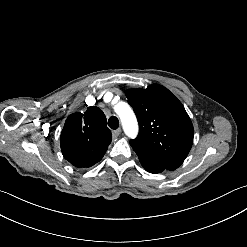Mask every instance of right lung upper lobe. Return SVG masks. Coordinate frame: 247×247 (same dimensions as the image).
<instances>
[{"label": "right lung upper lobe", "instance_id": "obj_1", "mask_svg": "<svg viewBox=\"0 0 247 247\" xmlns=\"http://www.w3.org/2000/svg\"><path fill=\"white\" fill-rule=\"evenodd\" d=\"M111 131L104 113L96 106L84 114H71L61 133V151L66 160L77 168H89L99 162L111 143Z\"/></svg>", "mask_w": 247, "mask_h": 247}]
</instances>
